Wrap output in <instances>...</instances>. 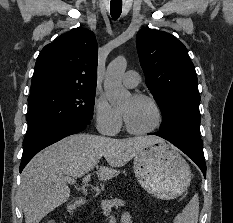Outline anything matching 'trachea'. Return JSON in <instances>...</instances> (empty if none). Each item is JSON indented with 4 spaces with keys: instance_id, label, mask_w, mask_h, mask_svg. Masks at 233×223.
<instances>
[{
    "instance_id": "trachea-1",
    "label": "trachea",
    "mask_w": 233,
    "mask_h": 223,
    "mask_svg": "<svg viewBox=\"0 0 233 223\" xmlns=\"http://www.w3.org/2000/svg\"><path fill=\"white\" fill-rule=\"evenodd\" d=\"M122 11V3H111V16L114 20L119 18Z\"/></svg>"
}]
</instances>
